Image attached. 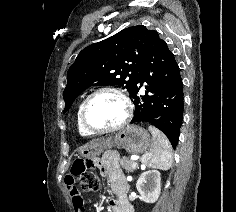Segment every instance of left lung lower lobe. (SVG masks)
<instances>
[{
	"label": "left lung lower lobe",
	"mask_w": 236,
	"mask_h": 212,
	"mask_svg": "<svg viewBox=\"0 0 236 212\" xmlns=\"http://www.w3.org/2000/svg\"><path fill=\"white\" fill-rule=\"evenodd\" d=\"M144 82L147 91L141 95ZM131 101L135 105L131 122L154 125L169 138L175 149L183 119V83L175 56L157 31H152L148 41Z\"/></svg>",
	"instance_id": "1"
}]
</instances>
